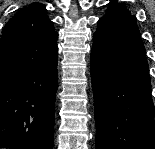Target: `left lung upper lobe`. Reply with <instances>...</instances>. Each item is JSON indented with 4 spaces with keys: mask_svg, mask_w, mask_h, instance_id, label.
<instances>
[{
    "mask_svg": "<svg viewBox=\"0 0 155 149\" xmlns=\"http://www.w3.org/2000/svg\"><path fill=\"white\" fill-rule=\"evenodd\" d=\"M108 13L103 17H109L118 14H129L130 12L125 8L124 5L118 4L117 0H111L108 4ZM102 19V18H101Z\"/></svg>",
    "mask_w": 155,
    "mask_h": 149,
    "instance_id": "5c2ea615",
    "label": "left lung upper lobe"
}]
</instances>
